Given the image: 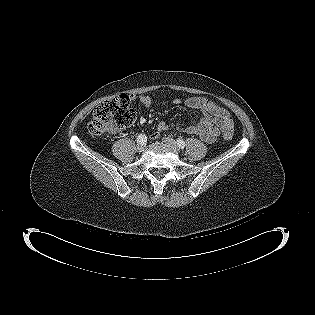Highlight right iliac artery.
Masks as SVG:
<instances>
[{
  "mask_svg": "<svg viewBox=\"0 0 315 315\" xmlns=\"http://www.w3.org/2000/svg\"><path fill=\"white\" fill-rule=\"evenodd\" d=\"M147 140V137L144 135V134H139L138 137H137V142L138 143H143L146 142Z\"/></svg>",
  "mask_w": 315,
  "mask_h": 315,
  "instance_id": "1",
  "label": "right iliac artery"
}]
</instances>
